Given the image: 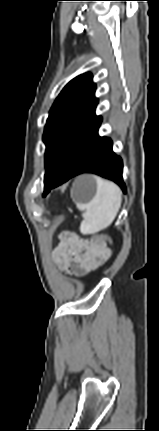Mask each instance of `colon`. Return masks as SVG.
<instances>
[{
  "label": "colon",
  "instance_id": "1",
  "mask_svg": "<svg viewBox=\"0 0 159 431\" xmlns=\"http://www.w3.org/2000/svg\"><path fill=\"white\" fill-rule=\"evenodd\" d=\"M97 236H102L104 238V240H106L108 242V244L111 243V238L109 236H107V235H97ZM97 236H94L93 239L95 240V238Z\"/></svg>",
  "mask_w": 159,
  "mask_h": 431
}]
</instances>
